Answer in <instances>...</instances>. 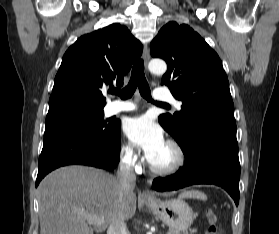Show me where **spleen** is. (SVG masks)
I'll return each mask as SVG.
<instances>
[{"label":"spleen","instance_id":"spleen-1","mask_svg":"<svg viewBox=\"0 0 279 234\" xmlns=\"http://www.w3.org/2000/svg\"><path fill=\"white\" fill-rule=\"evenodd\" d=\"M181 197H187V198H197L201 200H206L207 196L200 192V191H188L186 193H183Z\"/></svg>","mask_w":279,"mask_h":234}]
</instances>
